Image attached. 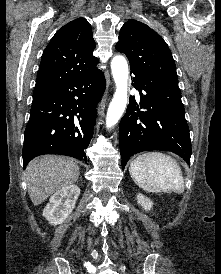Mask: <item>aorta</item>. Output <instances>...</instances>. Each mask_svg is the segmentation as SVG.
Instances as JSON below:
<instances>
[{
	"mask_svg": "<svg viewBox=\"0 0 221 274\" xmlns=\"http://www.w3.org/2000/svg\"><path fill=\"white\" fill-rule=\"evenodd\" d=\"M112 75L116 90L106 115V127L112 128L121 118L127 105L128 64L126 59L117 55L111 61Z\"/></svg>",
	"mask_w": 221,
	"mask_h": 274,
	"instance_id": "1",
	"label": "aorta"
}]
</instances>
